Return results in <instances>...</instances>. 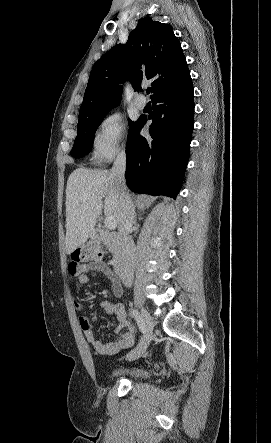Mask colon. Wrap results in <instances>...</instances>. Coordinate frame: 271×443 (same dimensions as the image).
Here are the masks:
<instances>
[{"label":"colon","mask_w":271,"mask_h":443,"mask_svg":"<svg viewBox=\"0 0 271 443\" xmlns=\"http://www.w3.org/2000/svg\"><path fill=\"white\" fill-rule=\"evenodd\" d=\"M103 254L101 246L97 242H87L73 250L71 263H88L100 258Z\"/></svg>","instance_id":"colon-1"}]
</instances>
